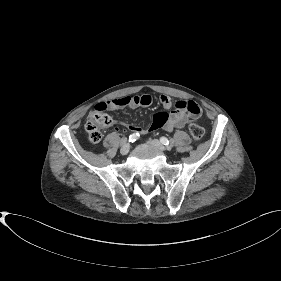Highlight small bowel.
<instances>
[{"label": "small bowel", "instance_id": "small-bowel-1", "mask_svg": "<svg viewBox=\"0 0 281 281\" xmlns=\"http://www.w3.org/2000/svg\"><path fill=\"white\" fill-rule=\"evenodd\" d=\"M161 106L169 110L173 107L171 98L167 95H161L159 98ZM152 103V97L149 94L139 96H124L112 99L106 102H100L96 105V109L101 110H118L124 108L147 107ZM201 114V108L194 101L179 100L175 103L172 111H160L154 114L151 124L141 126L134 123L124 124L125 127L138 134L164 129L173 131L177 128L185 127L192 119L197 118ZM117 124H123L117 122Z\"/></svg>", "mask_w": 281, "mask_h": 281}]
</instances>
